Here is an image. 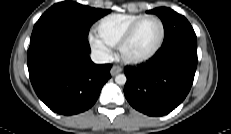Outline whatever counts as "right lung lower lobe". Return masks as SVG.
<instances>
[{"label": "right lung lower lobe", "instance_id": "obj_1", "mask_svg": "<svg viewBox=\"0 0 231 134\" xmlns=\"http://www.w3.org/2000/svg\"><path fill=\"white\" fill-rule=\"evenodd\" d=\"M86 37L52 26L32 35L28 70L37 96L54 112L73 115L94 105L111 77L110 64L96 65Z\"/></svg>", "mask_w": 231, "mask_h": 134}]
</instances>
